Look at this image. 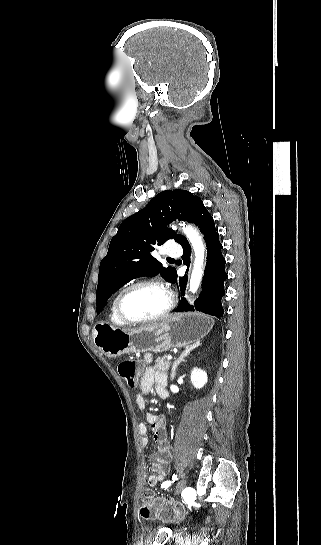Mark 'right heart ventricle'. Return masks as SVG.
<instances>
[{
	"instance_id": "1",
	"label": "right heart ventricle",
	"mask_w": 321,
	"mask_h": 545,
	"mask_svg": "<svg viewBox=\"0 0 321 545\" xmlns=\"http://www.w3.org/2000/svg\"><path fill=\"white\" fill-rule=\"evenodd\" d=\"M115 300H116V296L112 299L111 303H110V307H109V321L110 323L115 326V327H123L124 324L121 323V321L119 320L117 314H116V310H115Z\"/></svg>"
}]
</instances>
